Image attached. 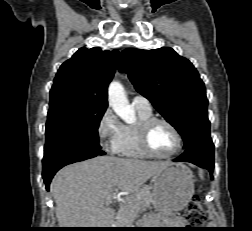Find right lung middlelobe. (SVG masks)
I'll return each instance as SVG.
<instances>
[{
    "mask_svg": "<svg viewBox=\"0 0 252 231\" xmlns=\"http://www.w3.org/2000/svg\"><path fill=\"white\" fill-rule=\"evenodd\" d=\"M106 108L66 99L50 100L44 153L64 146L101 149L98 126Z\"/></svg>",
    "mask_w": 252,
    "mask_h": 231,
    "instance_id": "1",
    "label": "right lung middle lobe"
}]
</instances>
